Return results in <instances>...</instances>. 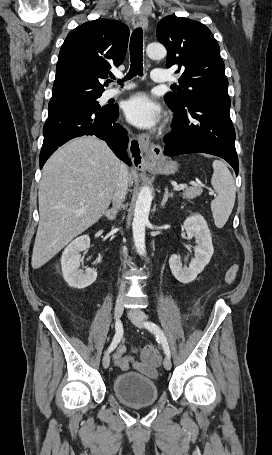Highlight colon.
<instances>
[{
	"instance_id": "1",
	"label": "colon",
	"mask_w": 272,
	"mask_h": 455,
	"mask_svg": "<svg viewBox=\"0 0 272 455\" xmlns=\"http://www.w3.org/2000/svg\"><path fill=\"white\" fill-rule=\"evenodd\" d=\"M142 358L153 365H157L161 361V355L153 346H145L142 350Z\"/></svg>"
}]
</instances>
